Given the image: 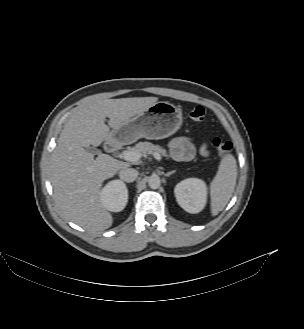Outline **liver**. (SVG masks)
Instances as JSON below:
<instances>
[{
	"label": "liver",
	"instance_id": "6515ba94",
	"mask_svg": "<svg viewBox=\"0 0 304 329\" xmlns=\"http://www.w3.org/2000/svg\"><path fill=\"white\" fill-rule=\"evenodd\" d=\"M157 97L89 101L66 123L52 154L50 180L64 215L89 231H103L113 222L100 199L102 183L129 163L84 149L107 141L110 128L118 129L157 102ZM108 117L109 126L105 124Z\"/></svg>",
	"mask_w": 304,
	"mask_h": 329
}]
</instances>
